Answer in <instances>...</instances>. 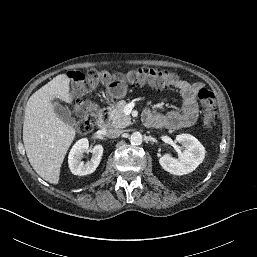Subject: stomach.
<instances>
[{
	"mask_svg": "<svg viewBox=\"0 0 257 257\" xmlns=\"http://www.w3.org/2000/svg\"><path fill=\"white\" fill-rule=\"evenodd\" d=\"M107 93L112 99L123 98L126 95V86L123 83L111 84L107 87Z\"/></svg>",
	"mask_w": 257,
	"mask_h": 257,
	"instance_id": "obj_1",
	"label": "stomach"
}]
</instances>
